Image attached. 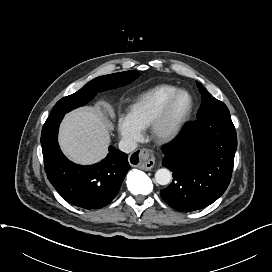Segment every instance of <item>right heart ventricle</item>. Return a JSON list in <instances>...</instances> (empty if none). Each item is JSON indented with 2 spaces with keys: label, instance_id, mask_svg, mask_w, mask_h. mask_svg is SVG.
Masks as SVG:
<instances>
[{
  "label": "right heart ventricle",
  "instance_id": "1",
  "mask_svg": "<svg viewBox=\"0 0 272 272\" xmlns=\"http://www.w3.org/2000/svg\"><path fill=\"white\" fill-rule=\"evenodd\" d=\"M176 90L175 85L161 84L141 93L128 107V118L140 130L147 129Z\"/></svg>",
  "mask_w": 272,
  "mask_h": 272
}]
</instances>
